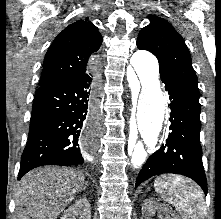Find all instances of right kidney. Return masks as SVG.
Listing matches in <instances>:
<instances>
[{"label": "right kidney", "mask_w": 221, "mask_h": 219, "mask_svg": "<svg viewBox=\"0 0 221 219\" xmlns=\"http://www.w3.org/2000/svg\"><path fill=\"white\" fill-rule=\"evenodd\" d=\"M61 219H91L89 201L86 198L77 200L64 211Z\"/></svg>", "instance_id": "1"}]
</instances>
